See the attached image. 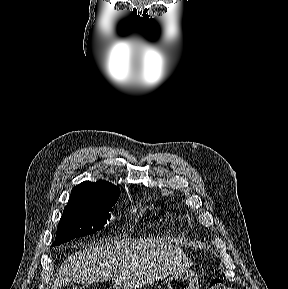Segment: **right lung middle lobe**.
<instances>
[{
  "mask_svg": "<svg viewBox=\"0 0 288 289\" xmlns=\"http://www.w3.org/2000/svg\"><path fill=\"white\" fill-rule=\"evenodd\" d=\"M118 197L119 192H106L95 197L70 196L52 246L102 229L110 221L109 211Z\"/></svg>",
  "mask_w": 288,
  "mask_h": 289,
  "instance_id": "dd1d6c3e",
  "label": "right lung middle lobe"
}]
</instances>
